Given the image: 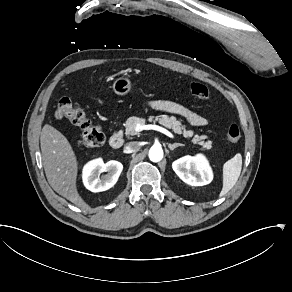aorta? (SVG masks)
I'll use <instances>...</instances> for the list:
<instances>
[{
	"instance_id": "obj_1",
	"label": "aorta",
	"mask_w": 292,
	"mask_h": 292,
	"mask_svg": "<svg viewBox=\"0 0 292 292\" xmlns=\"http://www.w3.org/2000/svg\"><path fill=\"white\" fill-rule=\"evenodd\" d=\"M163 158V150L161 147L153 146L149 151V159L152 162H160Z\"/></svg>"
}]
</instances>
